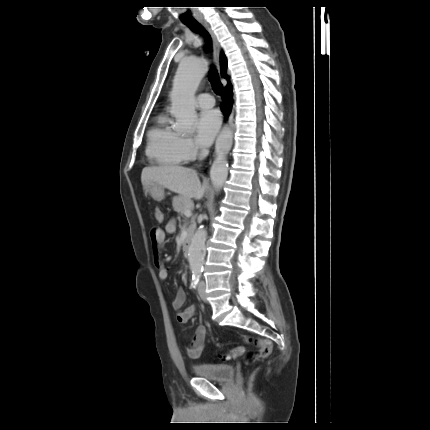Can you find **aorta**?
I'll list each match as a JSON object with an SVG mask.
<instances>
[{
	"mask_svg": "<svg viewBox=\"0 0 430 430\" xmlns=\"http://www.w3.org/2000/svg\"><path fill=\"white\" fill-rule=\"evenodd\" d=\"M208 70L206 60L199 58L183 59L177 69L170 93L171 114L175 117V129L181 133L192 132L197 119L194 95L198 85ZM233 143V130L224 127L217 137L215 159L210 169V178L216 190H220L228 176L227 155ZM207 231L196 230L188 250V261L192 273H200L206 253Z\"/></svg>",
	"mask_w": 430,
	"mask_h": 430,
	"instance_id": "1",
	"label": "aorta"
}]
</instances>
